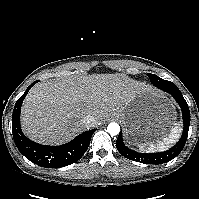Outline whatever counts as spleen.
Segmentation results:
<instances>
[{
  "mask_svg": "<svg viewBox=\"0 0 199 199\" xmlns=\"http://www.w3.org/2000/svg\"><path fill=\"white\" fill-rule=\"evenodd\" d=\"M180 129L174 127L168 136H164L156 142H145L139 145V149L147 152L165 151L167 150L180 136Z\"/></svg>",
  "mask_w": 199,
  "mask_h": 199,
  "instance_id": "obj_1",
  "label": "spleen"
}]
</instances>
